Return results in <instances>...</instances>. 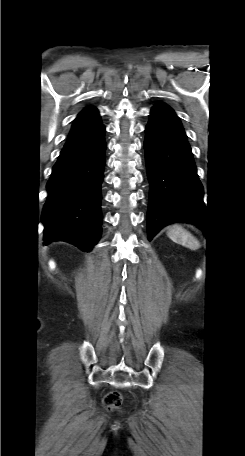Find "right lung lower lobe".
I'll return each mask as SVG.
<instances>
[{"instance_id":"1","label":"right lung lower lobe","mask_w":245,"mask_h":456,"mask_svg":"<svg viewBox=\"0 0 245 456\" xmlns=\"http://www.w3.org/2000/svg\"><path fill=\"white\" fill-rule=\"evenodd\" d=\"M105 127L91 142L62 149L47 183L45 244L64 241L90 251L101 235Z\"/></svg>"}]
</instances>
